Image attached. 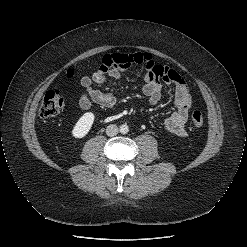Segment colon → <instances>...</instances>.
I'll list each match as a JSON object with an SVG mask.
<instances>
[{"label": "colon", "mask_w": 247, "mask_h": 247, "mask_svg": "<svg viewBox=\"0 0 247 247\" xmlns=\"http://www.w3.org/2000/svg\"><path fill=\"white\" fill-rule=\"evenodd\" d=\"M64 106V99L60 92L56 89L48 90L42 100L39 110L41 118H50L61 112ZM191 123L194 127L200 128L204 124L203 114L195 110L191 115Z\"/></svg>", "instance_id": "5ec220e1"}]
</instances>
